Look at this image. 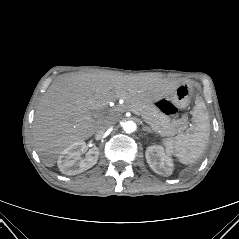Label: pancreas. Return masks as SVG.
Masks as SVG:
<instances>
[{"instance_id": "1", "label": "pancreas", "mask_w": 239, "mask_h": 239, "mask_svg": "<svg viewBox=\"0 0 239 239\" xmlns=\"http://www.w3.org/2000/svg\"><path fill=\"white\" fill-rule=\"evenodd\" d=\"M127 108L139 113L154 132L163 137H172L185 130L188 122L185 117L178 120H170L155 105L149 103H131Z\"/></svg>"}]
</instances>
